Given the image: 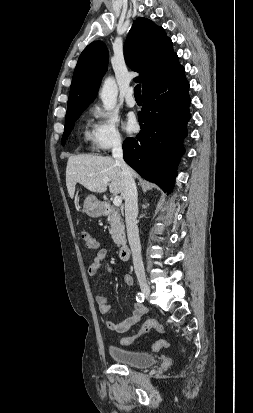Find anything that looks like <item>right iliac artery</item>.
I'll list each match as a JSON object with an SVG mask.
<instances>
[{
	"instance_id": "obj_1",
	"label": "right iliac artery",
	"mask_w": 253,
	"mask_h": 413,
	"mask_svg": "<svg viewBox=\"0 0 253 413\" xmlns=\"http://www.w3.org/2000/svg\"><path fill=\"white\" fill-rule=\"evenodd\" d=\"M136 300L137 302L142 303L144 301V295L142 293H137Z\"/></svg>"
}]
</instances>
